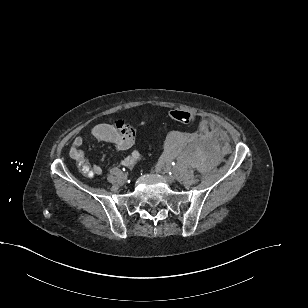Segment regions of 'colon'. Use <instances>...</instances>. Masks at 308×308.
<instances>
[{"mask_svg": "<svg viewBox=\"0 0 308 308\" xmlns=\"http://www.w3.org/2000/svg\"><path fill=\"white\" fill-rule=\"evenodd\" d=\"M170 117L174 121H176L180 124H183V125H190V124H193L196 121V117H195L194 114H192L190 112L182 111V110L171 111ZM78 168L85 175H91L92 174L91 168L84 158L78 160Z\"/></svg>", "mask_w": 308, "mask_h": 308, "instance_id": "5ec220e1", "label": "colon"}]
</instances>
